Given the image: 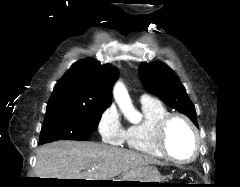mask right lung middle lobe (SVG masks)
<instances>
[{
  "instance_id": "obj_1",
  "label": "right lung middle lobe",
  "mask_w": 240,
  "mask_h": 187,
  "mask_svg": "<svg viewBox=\"0 0 240 187\" xmlns=\"http://www.w3.org/2000/svg\"><path fill=\"white\" fill-rule=\"evenodd\" d=\"M104 110L74 105L47 108L40 144L56 140L88 141Z\"/></svg>"
}]
</instances>
